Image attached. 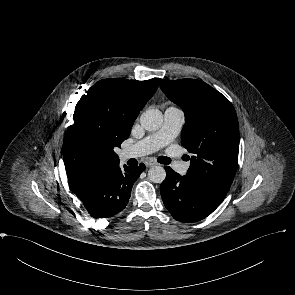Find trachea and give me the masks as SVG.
<instances>
[{"label": "trachea", "mask_w": 295, "mask_h": 295, "mask_svg": "<svg viewBox=\"0 0 295 295\" xmlns=\"http://www.w3.org/2000/svg\"><path fill=\"white\" fill-rule=\"evenodd\" d=\"M157 160L161 164H166L167 165V164L171 163V159L168 158V157H164V156L159 157Z\"/></svg>", "instance_id": "obj_1"}]
</instances>
